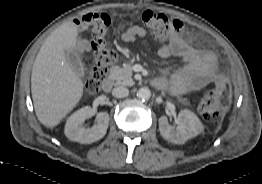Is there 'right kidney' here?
<instances>
[{
    "label": "right kidney",
    "mask_w": 262,
    "mask_h": 184,
    "mask_svg": "<svg viewBox=\"0 0 262 184\" xmlns=\"http://www.w3.org/2000/svg\"><path fill=\"white\" fill-rule=\"evenodd\" d=\"M93 114V110L89 106H85L73 113L65 125L66 137L81 144H89L104 137L109 125V115L107 112L97 114V123L93 127L87 128L83 126L84 121L92 117Z\"/></svg>",
    "instance_id": "right-kidney-1"
}]
</instances>
